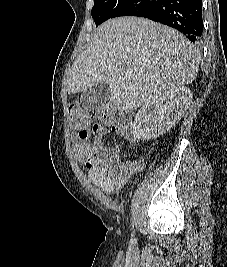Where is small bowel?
Wrapping results in <instances>:
<instances>
[{
    "mask_svg": "<svg viewBox=\"0 0 227 267\" xmlns=\"http://www.w3.org/2000/svg\"><path fill=\"white\" fill-rule=\"evenodd\" d=\"M111 130L115 133L122 132L119 126H112ZM107 131L105 127L97 123L91 129L88 126L78 129L73 138V143L75 159L87 169L90 181L104 191L109 192L111 188L136 173L138 166L133 161L121 163L112 176L108 175L109 150H101L102 139ZM91 138L94 141H91Z\"/></svg>",
    "mask_w": 227,
    "mask_h": 267,
    "instance_id": "1",
    "label": "small bowel"
}]
</instances>
